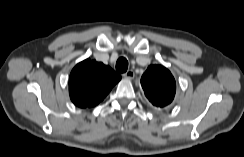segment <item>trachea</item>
I'll return each mask as SVG.
<instances>
[{"label": "trachea", "mask_w": 244, "mask_h": 157, "mask_svg": "<svg viewBox=\"0 0 244 157\" xmlns=\"http://www.w3.org/2000/svg\"><path fill=\"white\" fill-rule=\"evenodd\" d=\"M128 69V61L125 57H120L116 62V70L120 73L126 72Z\"/></svg>", "instance_id": "3493384b"}]
</instances>
